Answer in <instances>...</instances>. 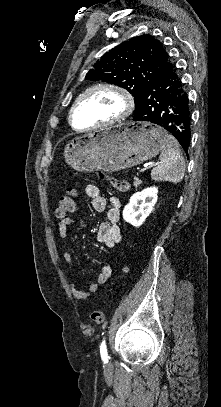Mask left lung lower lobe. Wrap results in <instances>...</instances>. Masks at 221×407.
<instances>
[{
    "mask_svg": "<svg viewBox=\"0 0 221 407\" xmlns=\"http://www.w3.org/2000/svg\"><path fill=\"white\" fill-rule=\"evenodd\" d=\"M135 121H147L169 131L187 154L191 138L188 94L174 63L142 90L135 108Z\"/></svg>",
    "mask_w": 221,
    "mask_h": 407,
    "instance_id": "left-lung-lower-lobe-1",
    "label": "left lung lower lobe"
}]
</instances>
